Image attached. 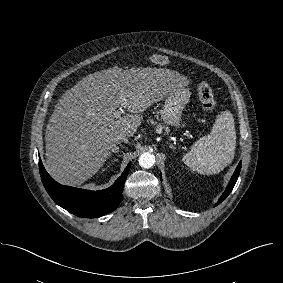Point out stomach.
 I'll return each instance as SVG.
<instances>
[{
  "label": "stomach",
  "mask_w": 283,
  "mask_h": 283,
  "mask_svg": "<svg viewBox=\"0 0 283 283\" xmlns=\"http://www.w3.org/2000/svg\"><path fill=\"white\" fill-rule=\"evenodd\" d=\"M191 92L185 85L175 88L166 98L161 110V119L167 125H178L182 111L189 102Z\"/></svg>",
  "instance_id": "0dacf381"
}]
</instances>
